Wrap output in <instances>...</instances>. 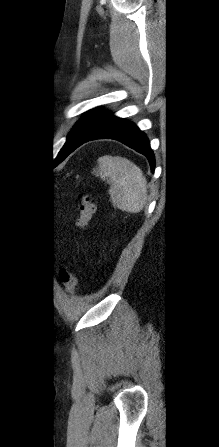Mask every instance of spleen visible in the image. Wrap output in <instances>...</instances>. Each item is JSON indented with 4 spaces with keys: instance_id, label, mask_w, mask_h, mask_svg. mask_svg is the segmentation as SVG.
Here are the masks:
<instances>
[{
    "instance_id": "spleen-1",
    "label": "spleen",
    "mask_w": 219,
    "mask_h": 447,
    "mask_svg": "<svg viewBox=\"0 0 219 447\" xmlns=\"http://www.w3.org/2000/svg\"><path fill=\"white\" fill-rule=\"evenodd\" d=\"M98 172L102 179H109V194L114 206L129 213L143 209L147 182L133 162L125 157L105 155L98 159Z\"/></svg>"
}]
</instances>
